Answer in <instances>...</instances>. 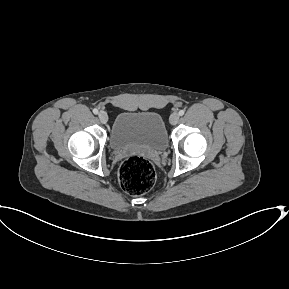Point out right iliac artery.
I'll return each instance as SVG.
<instances>
[{"mask_svg": "<svg viewBox=\"0 0 289 289\" xmlns=\"http://www.w3.org/2000/svg\"><path fill=\"white\" fill-rule=\"evenodd\" d=\"M93 113H94V114H98V109H96V108L93 109Z\"/></svg>", "mask_w": 289, "mask_h": 289, "instance_id": "82829eb1", "label": "right iliac artery"}]
</instances>
